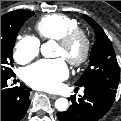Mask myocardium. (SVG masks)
I'll use <instances>...</instances> for the list:
<instances>
[{"instance_id":"myocardium-1","label":"myocardium","mask_w":121,"mask_h":121,"mask_svg":"<svg viewBox=\"0 0 121 121\" xmlns=\"http://www.w3.org/2000/svg\"><path fill=\"white\" fill-rule=\"evenodd\" d=\"M77 41L82 42V51L78 56L67 57L66 60L74 67L82 65L88 59L91 51V40L87 33L81 29L77 28L62 36L58 39V44L64 49L68 50Z\"/></svg>"}]
</instances>
